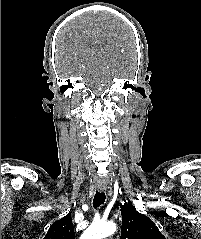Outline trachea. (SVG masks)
<instances>
[{
    "label": "trachea",
    "instance_id": "3493384b",
    "mask_svg": "<svg viewBox=\"0 0 201 239\" xmlns=\"http://www.w3.org/2000/svg\"><path fill=\"white\" fill-rule=\"evenodd\" d=\"M106 196L104 192H96L93 199V207L98 208L105 202Z\"/></svg>",
    "mask_w": 201,
    "mask_h": 239
}]
</instances>
